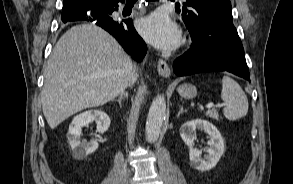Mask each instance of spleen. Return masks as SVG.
Masks as SVG:
<instances>
[{"instance_id": "obj_1", "label": "spleen", "mask_w": 293, "mask_h": 184, "mask_svg": "<svg viewBox=\"0 0 293 184\" xmlns=\"http://www.w3.org/2000/svg\"><path fill=\"white\" fill-rule=\"evenodd\" d=\"M221 99L225 102L224 116L235 121L246 116L248 112V99L240 85L231 77L222 78Z\"/></svg>"}]
</instances>
